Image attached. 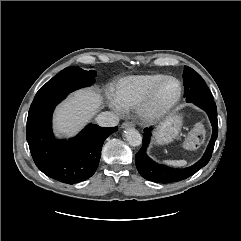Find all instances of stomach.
<instances>
[{"label": "stomach", "instance_id": "obj_1", "mask_svg": "<svg viewBox=\"0 0 241 241\" xmlns=\"http://www.w3.org/2000/svg\"><path fill=\"white\" fill-rule=\"evenodd\" d=\"M182 127V116L173 113L162 121L155 132V144H167L177 138Z\"/></svg>", "mask_w": 241, "mask_h": 241}]
</instances>
